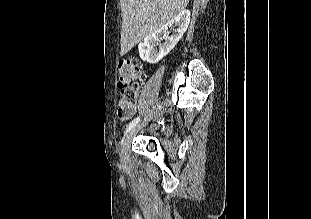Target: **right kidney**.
Here are the masks:
<instances>
[{
	"mask_svg": "<svg viewBox=\"0 0 311 219\" xmlns=\"http://www.w3.org/2000/svg\"><path fill=\"white\" fill-rule=\"evenodd\" d=\"M189 23L190 11L184 10L164 26L148 35L144 41L138 45L140 58L150 64L160 61L179 42L184 32L187 30ZM173 25V34L169 36L167 29ZM160 39L164 40V42L159 44V50H157L155 46Z\"/></svg>",
	"mask_w": 311,
	"mask_h": 219,
	"instance_id": "1",
	"label": "right kidney"
}]
</instances>
